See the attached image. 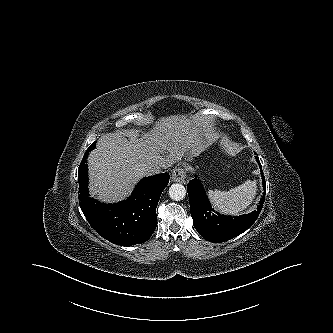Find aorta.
<instances>
[{"mask_svg":"<svg viewBox=\"0 0 333 333\" xmlns=\"http://www.w3.org/2000/svg\"><path fill=\"white\" fill-rule=\"evenodd\" d=\"M170 198L174 201H180L186 196V189L182 184H172L169 188Z\"/></svg>","mask_w":333,"mask_h":333,"instance_id":"1","label":"aorta"}]
</instances>
